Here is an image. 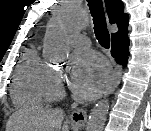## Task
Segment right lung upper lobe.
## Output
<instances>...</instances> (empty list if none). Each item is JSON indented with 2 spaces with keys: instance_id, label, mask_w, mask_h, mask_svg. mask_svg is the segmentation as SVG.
I'll return each mask as SVG.
<instances>
[{
  "instance_id": "cb5924a9",
  "label": "right lung upper lobe",
  "mask_w": 151,
  "mask_h": 131,
  "mask_svg": "<svg viewBox=\"0 0 151 131\" xmlns=\"http://www.w3.org/2000/svg\"><path fill=\"white\" fill-rule=\"evenodd\" d=\"M107 13L111 24L116 23L119 31L112 34V42L128 38V15L124 14V6L121 0H105Z\"/></svg>"
}]
</instances>
